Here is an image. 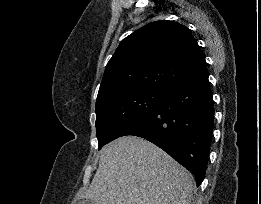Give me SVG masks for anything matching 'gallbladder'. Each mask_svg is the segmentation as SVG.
<instances>
[{"label": "gallbladder", "instance_id": "1", "mask_svg": "<svg viewBox=\"0 0 261 204\" xmlns=\"http://www.w3.org/2000/svg\"><path fill=\"white\" fill-rule=\"evenodd\" d=\"M77 204H95L94 201L90 199H82L77 202Z\"/></svg>", "mask_w": 261, "mask_h": 204}]
</instances>
